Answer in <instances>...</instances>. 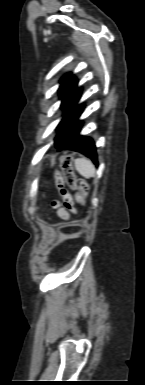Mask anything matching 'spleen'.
Masks as SVG:
<instances>
[{"label": "spleen", "instance_id": "3e777b00", "mask_svg": "<svg viewBox=\"0 0 145 385\" xmlns=\"http://www.w3.org/2000/svg\"><path fill=\"white\" fill-rule=\"evenodd\" d=\"M75 168L79 174L85 178L95 176V167L93 163L87 158H77L74 160Z\"/></svg>", "mask_w": 145, "mask_h": 385}]
</instances>
